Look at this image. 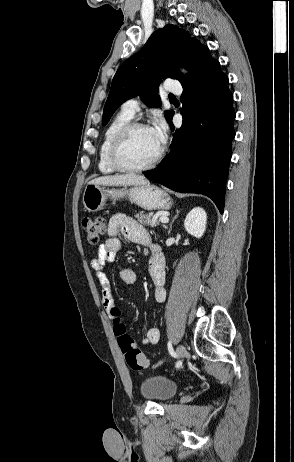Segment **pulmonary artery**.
<instances>
[{"instance_id": "obj_1", "label": "pulmonary artery", "mask_w": 294, "mask_h": 462, "mask_svg": "<svg viewBox=\"0 0 294 462\" xmlns=\"http://www.w3.org/2000/svg\"><path fill=\"white\" fill-rule=\"evenodd\" d=\"M165 90L169 93L176 94L180 92V85L168 83L165 86ZM122 109L134 115L140 110V100L137 98H131L123 104Z\"/></svg>"}]
</instances>
